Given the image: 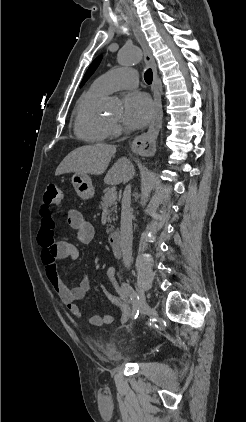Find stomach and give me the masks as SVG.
Returning a JSON list of instances; mask_svg holds the SVG:
<instances>
[{"mask_svg":"<svg viewBox=\"0 0 246 422\" xmlns=\"http://www.w3.org/2000/svg\"><path fill=\"white\" fill-rule=\"evenodd\" d=\"M71 180H72V184L77 195L81 199L87 200L93 197L94 187L88 175H81V174L75 173L72 176Z\"/></svg>","mask_w":246,"mask_h":422,"instance_id":"1","label":"stomach"}]
</instances>
